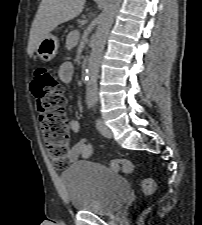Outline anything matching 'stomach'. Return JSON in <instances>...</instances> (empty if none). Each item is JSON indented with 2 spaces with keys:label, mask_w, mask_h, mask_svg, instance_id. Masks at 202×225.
Segmentation results:
<instances>
[{
  "label": "stomach",
  "mask_w": 202,
  "mask_h": 225,
  "mask_svg": "<svg viewBox=\"0 0 202 225\" xmlns=\"http://www.w3.org/2000/svg\"><path fill=\"white\" fill-rule=\"evenodd\" d=\"M59 41L52 34H47L39 43L36 53L43 61H51L57 54Z\"/></svg>",
  "instance_id": "stomach-1"
}]
</instances>
